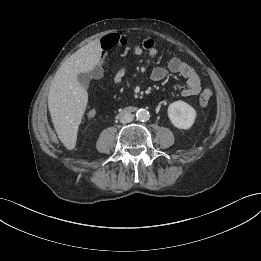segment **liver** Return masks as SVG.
<instances>
[{
	"mask_svg": "<svg viewBox=\"0 0 261 261\" xmlns=\"http://www.w3.org/2000/svg\"><path fill=\"white\" fill-rule=\"evenodd\" d=\"M100 56V40L97 39L76 51L60 67L50 86L49 112L58 138L65 145L74 143L88 102V93L77 76L91 71Z\"/></svg>",
	"mask_w": 261,
	"mask_h": 261,
	"instance_id": "1",
	"label": "liver"
}]
</instances>
